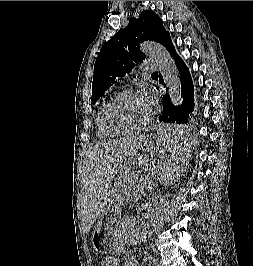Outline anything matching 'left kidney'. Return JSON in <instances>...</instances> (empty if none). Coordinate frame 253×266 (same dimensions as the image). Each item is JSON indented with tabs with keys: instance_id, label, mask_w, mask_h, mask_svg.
<instances>
[{
	"instance_id": "1",
	"label": "left kidney",
	"mask_w": 253,
	"mask_h": 266,
	"mask_svg": "<svg viewBox=\"0 0 253 266\" xmlns=\"http://www.w3.org/2000/svg\"><path fill=\"white\" fill-rule=\"evenodd\" d=\"M135 221V217L128 216L122 223V229L120 231L121 240L128 245H137L147 235V231H141L137 228Z\"/></svg>"
}]
</instances>
